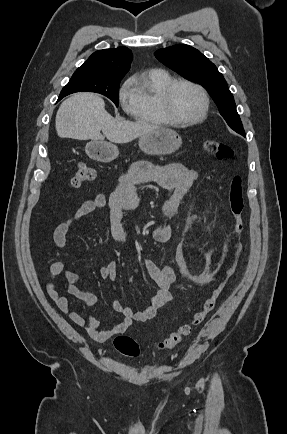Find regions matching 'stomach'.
I'll return each instance as SVG.
<instances>
[{"label": "stomach", "instance_id": "stomach-1", "mask_svg": "<svg viewBox=\"0 0 287 434\" xmlns=\"http://www.w3.org/2000/svg\"><path fill=\"white\" fill-rule=\"evenodd\" d=\"M182 144L178 133L159 127L139 138L140 149L148 155H167L177 151ZM87 155L98 162L108 163L119 155L117 146L107 142L92 141L86 145Z\"/></svg>", "mask_w": 287, "mask_h": 434}]
</instances>
